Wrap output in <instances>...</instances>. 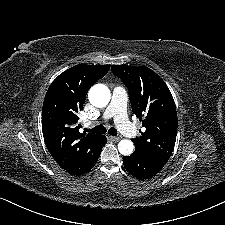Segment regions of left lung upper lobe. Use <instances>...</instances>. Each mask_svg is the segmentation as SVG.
Masks as SVG:
<instances>
[{
	"mask_svg": "<svg viewBox=\"0 0 225 225\" xmlns=\"http://www.w3.org/2000/svg\"><path fill=\"white\" fill-rule=\"evenodd\" d=\"M111 69L129 89L132 111L146 128L140 139H132L135 151L166 163L175 146L178 122L169 88L146 67L112 65Z\"/></svg>",
	"mask_w": 225,
	"mask_h": 225,
	"instance_id": "obj_1",
	"label": "left lung upper lobe"
}]
</instances>
